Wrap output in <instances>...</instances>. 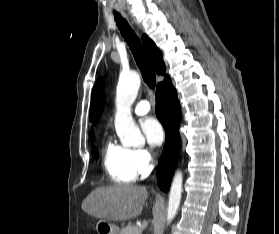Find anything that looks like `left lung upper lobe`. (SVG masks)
I'll return each instance as SVG.
<instances>
[{
    "instance_id": "5c2ea615",
    "label": "left lung upper lobe",
    "mask_w": 279,
    "mask_h": 234,
    "mask_svg": "<svg viewBox=\"0 0 279 234\" xmlns=\"http://www.w3.org/2000/svg\"><path fill=\"white\" fill-rule=\"evenodd\" d=\"M104 106L103 80L99 78L93 88L89 119L96 124Z\"/></svg>"
}]
</instances>
